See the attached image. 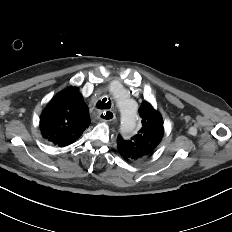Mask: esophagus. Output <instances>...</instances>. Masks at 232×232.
Masks as SVG:
<instances>
[{
  "instance_id": "34e87169",
  "label": "esophagus",
  "mask_w": 232,
  "mask_h": 232,
  "mask_svg": "<svg viewBox=\"0 0 232 232\" xmlns=\"http://www.w3.org/2000/svg\"><path fill=\"white\" fill-rule=\"evenodd\" d=\"M98 118L102 121H112L115 119V113L111 110L100 111Z\"/></svg>"
}]
</instances>
